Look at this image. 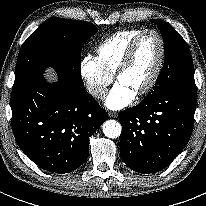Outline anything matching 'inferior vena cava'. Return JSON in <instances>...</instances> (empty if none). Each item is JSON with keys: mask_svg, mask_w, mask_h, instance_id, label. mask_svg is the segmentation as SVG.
I'll return each instance as SVG.
<instances>
[{"mask_svg": "<svg viewBox=\"0 0 206 206\" xmlns=\"http://www.w3.org/2000/svg\"><path fill=\"white\" fill-rule=\"evenodd\" d=\"M89 93L96 98H103L106 95V89L94 86L89 88Z\"/></svg>", "mask_w": 206, "mask_h": 206, "instance_id": "1", "label": "inferior vena cava"}]
</instances>
